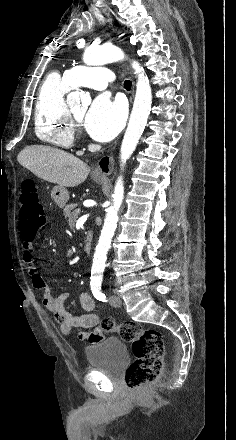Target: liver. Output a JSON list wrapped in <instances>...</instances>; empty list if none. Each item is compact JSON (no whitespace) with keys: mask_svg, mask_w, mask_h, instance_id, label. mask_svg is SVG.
Wrapping results in <instances>:
<instances>
[{"mask_svg":"<svg viewBox=\"0 0 236 440\" xmlns=\"http://www.w3.org/2000/svg\"><path fill=\"white\" fill-rule=\"evenodd\" d=\"M17 160L37 177L60 187H76L90 172V168L74 155L44 145L25 147Z\"/></svg>","mask_w":236,"mask_h":440,"instance_id":"obj_1","label":"liver"}]
</instances>
